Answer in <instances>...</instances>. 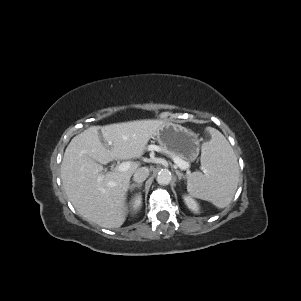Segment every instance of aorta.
Returning <instances> with one entry per match:
<instances>
[{
  "mask_svg": "<svg viewBox=\"0 0 301 301\" xmlns=\"http://www.w3.org/2000/svg\"><path fill=\"white\" fill-rule=\"evenodd\" d=\"M158 184L160 185H167L171 182L172 180V175L171 172L167 169L161 170L156 178Z\"/></svg>",
  "mask_w": 301,
  "mask_h": 301,
  "instance_id": "762f6f07",
  "label": "aorta"
}]
</instances>
